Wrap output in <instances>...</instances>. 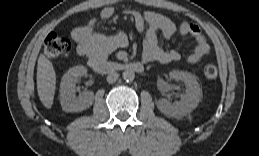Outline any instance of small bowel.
<instances>
[{
  "label": "small bowel",
  "mask_w": 259,
  "mask_h": 156,
  "mask_svg": "<svg viewBox=\"0 0 259 156\" xmlns=\"http://www.w3.org/2000/svg\"><path fill=\"white\" fill-rule=\"evenodd\" d=\"M132 17L136 29L143 34L142 59L146 63L159 62L170 63L182 60L181 54L173 49L164 48L159 41L170 40L176 32V26L168 17L153 11L139 13L137 11H126ZM115 14L111 6L104 7L99 17L108 20ZM96 19H92L85 26L75 28L71 37L77 44L78 53L87 59L103 60L112 51L125 48L128 45L127 36L124 33L104 35L95 32ZM179 33L183 36L190 35L195 39L193 52L184 60L190 64H196L210 54V46L201 33L200 28L193 23L183 22L179 26Z\"/></svg>",
  "instance_id": "1"
}]
</instances>
